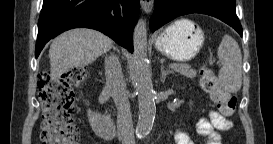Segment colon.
Listing matches in <instances>:
<instances>
[{
	"instance_id": "colon-1",
	"label": "colon",
	"mask_w": 273,
	"mask_h": 144,
	"mask_svg": "<svg viewBox=\"0 0 273 144\" xmlns=\"http://www.w3.org/2000/svg\"><path fill=\"white\" fill-rule=\"evenodd\" d=\"M200 73L201 87L210 95L219 112L225 117L232 116L237 106L236 97L221 87L210 67L203 66ZM85 77L86 70L78 67L70 69L57 79L52 78L49 74L40 76L38 96L44 109L42 144L78 143L79 129L72 119L73 87L79 85Z\"/></svg>"
}]
</instances>
